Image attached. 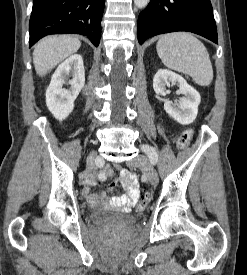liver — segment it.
<instances>
[{
	"label": "liver",
	"instance_id": "liver-1",
	"mask_svg": "<svg viewBox=\"0 0 247 275\" xmlns=\"http://www.w3.org/2000/svg\"><path fill=\"white\" fill-rule=\"evenodd\" d=\"M80 46V40L71 35L45 37L33 51V63L37 74L45 76L64 59L76 53Z\"/></svg>",
	"mask_w": 247,
	"mask_h": 275
}]
</instances>
